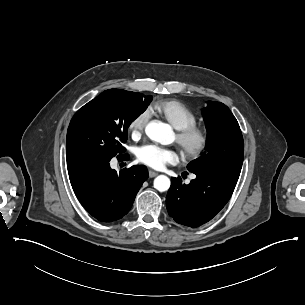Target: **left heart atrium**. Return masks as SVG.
<instances>
[{"instance_id":"39dd6f15","label":"left heart atrium","mask_w":305,"mask_h":305,"mask_svg":"<svg viewBox=\"0 0 305 305\" xmlns=\"http://www.w3.org/2000/svg\"><path fill=\"white\" fill-rule=\"evenodd\" d=\"M136 157L139 162L152 168H160L166 163H175L178 160V153L174 148L163 147L153 143L141 145L136 150Z\"/></svg>"}]
</instances>
